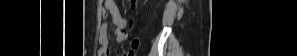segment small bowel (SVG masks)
I'll return each mask as SVG.
<instances>
[{"label":"small bowel","instance_id":"1","mask_svg":"<svg viewBox=\"0 0 297 56\" xmlns=\"http://www.w3.org/2000/svg\"><path fill=\"white\" fill-rule=\"evenodd\" d=\"M104 6H105V9L103 10L102 14L104 16H107L108 14L111 15L113 24L116 27L115 40L116 42L120 43L124 41L128 36V32L126 30L127 22L125 18L122 16L121 11L115 1L106 0L104 3ZM107 31H108V26L106 23H104L101 27V31L99 35V44H100L99 56L110 55Z\"/></svg>","mask_w":297,"mask_h":56}]
</instances>
